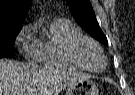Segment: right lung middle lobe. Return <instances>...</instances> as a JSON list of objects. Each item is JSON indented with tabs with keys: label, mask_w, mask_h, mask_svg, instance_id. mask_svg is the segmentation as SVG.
<instances>
[{
	"label": "right lung middle lobe",
	"mask_w": 135,
	"mask_h": 95,
	"mask_svg": "<svg viewBox=\"0 0 135 95\" xmlns=\"http://www.w3.org/2000/svg\"><path fill=\"white\" fill-rule=\"evenodd\" d=\"M19 31L0 35V58L14 57L13 43Z\"/></svg>",
	"instance_id": "right-lung-middle-lobe-1"
}]
</instances>
